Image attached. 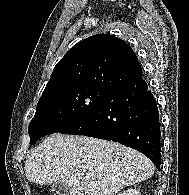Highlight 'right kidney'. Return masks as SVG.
Segmentation results:
<instances>
[{"label": "right kidney", "mask_w": 189, "mask_h": 195, "mask_svg": "<svg viewBox=\"0 0 189 195\" xmlns=\"http://www.w3.org/2000/svg\"><path fill=\"white\" fill-rule=\"evenodd\" d=\"M118 195H139V191L133 188H129Z\"/></svg>", "instance_id": "1"}]
</instances>
